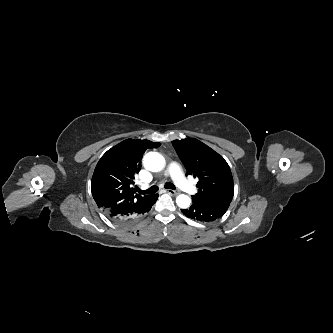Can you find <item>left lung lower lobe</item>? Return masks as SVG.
I'll list each match as a JSON object with an SVG mask.
<instances>
[{
  "mask_svg": "<svg viewBox=\"0 0 333 333\" xmlns=\"http://www.w3.org/2000/svg\"><path fill=\"white\" fill-rule=\"evenodd\" d=\"M227 209V206L192 198V205L181 211L188 218L202 222H210L222 217Z\"/></svg>",
  "mask_w": 333,
  "mask_h": 333,
  "instance_id": "left-lung-lower-lobe-1",
  "label": "left lung lower lobe"
}]
</instances>
